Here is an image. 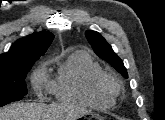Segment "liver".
Instances as JSON below:
<instances>
[{
	"mask_svg": "<svg viewBox=\"0 0 165 120\" xmlns=\"http://www.w3.org/2000/svg\"><path fill=\"white\" fill-rule=\"evenodd\" d=\"M67 111V118H76L81 109H68L64 106H47L39 103H14L0 110V120H54Z\"/></svg>",
	"mask_w": 165,
	"mask_h": 120,
	"instance_id": "6515ba94",
	"label": "liver"
}]
</instances>
